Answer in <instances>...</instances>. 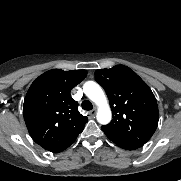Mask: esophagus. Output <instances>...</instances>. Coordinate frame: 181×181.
Segmentation results:
<instances>
[{
	"label": "esophagus",
	"mask_w": 181,
	"mask_h": 181,
	"mask_svg": "<svg viewBox=\"0 0 181 181\" xmlns=\"http://www.w3.org/2000/svg\"><path fill=\"white\" fill-rule=\"evenodd\" d=\"M96 112H97V110H96V108H94L93 110H91V111L89 112V115H90L91 117H94V116L96 115Z\"/></svg>",
	"instance_id": "esophagus-1"
}]
</instances>
